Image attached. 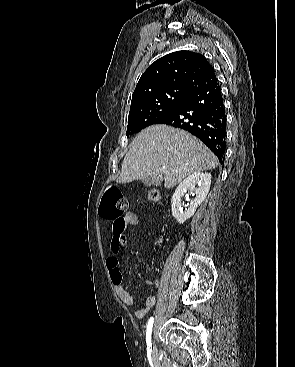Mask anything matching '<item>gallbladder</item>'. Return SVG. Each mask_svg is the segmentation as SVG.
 Instances as JSON below:
<instances>
[{
	"label": "gallbladder",
	"mask_w": 295,
	"mask_h": 367,
	"mask_svg": "<svg viewBox=\"0 0 295 367\" xmlns=\"http://www.w3.org/2000/svg\"><path fill=\"white\" fill-rule=\"evenodd\" d=\"M145 186H151L152 184H157V180L151 178H145L142 180Z\"/></svg>",
	"instance_id": "bac80fb5"
}]
</instances>
